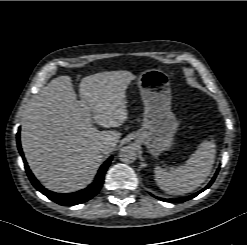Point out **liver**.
<instances>
[{
  "label": "liver",
  "instance_id": "1",
  "mask_svg": "<svg viewBox=\"0 0 247 245\" xmlns=\"http://www.w3.org/2000/svg\"><path fill=\"white\" fill-rule=\"evenodd\" d=\"M134 79L122 70L86 76L79 84L78 101L71 77L59 76L30 101L22 119L21 144L30 169L47 189L74 192L92 181L110 153L100 151V145L111 142L115 147L121 134L88 124L81 104L96 124L119 127L128 117L126 90Z\"/></svg>",
  "mask_w": 247,
  "mask_h": 245
}]
</instances>
